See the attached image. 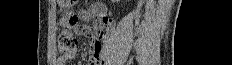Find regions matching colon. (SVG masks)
Here are the masks:
<instances>
[{
    "label": "colon",
    "mask_w": 232,
    "mask_h": 65,
    "mask_svg": "<svg viewBox=\"0 0 232 65\" xmlns=\"http://www.w3.org/2000/svg\"><path fill=\"white\" fill-rule=\"evenodd\" d=\"M77 38L69 31H63L58 37L59 52L64 55L75 49Z\"/></svg>",
    "instance_id": "5ec220e1"
}]
</instances>
